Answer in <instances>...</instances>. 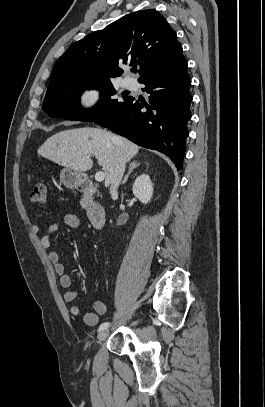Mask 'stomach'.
Wrapping results in <instances>:
<instances>
[{
    "label": "stomach",
    "instance_id": "stomach-1",
    "mask_svg": "<svg viewBox=\"0 0 265 407\" xmlns=\"http://www.w3.org/2000/svg\"><path fill=\"white\" fill-rule=\"evenodd\" d=\"M85 178H86L85 174L77 172L70 168H64L60 173L61 182L65 187L69 189H75L80 187L83 184Z\"/></svg>",
    "mask_w": 265,
    "mask_h": 407
}]
</instances>
